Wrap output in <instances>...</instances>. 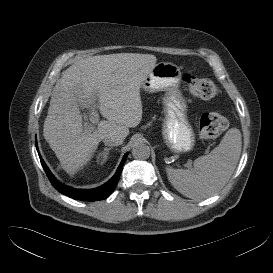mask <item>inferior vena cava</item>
Returning a JSON list of instances; mask_svg holds the SVG:
<instances>
[{"instance_id":"inferior-vena-cava-1","label":"inferior vena cava","mask_w":273,"mask_h":273,"mask_svg":"<svg viewBox=\"0 0 273 273\" xmlns=\"http://www.w3.org/2000/svg\"><path fill=\"white\" fill-rule=\"evenodd\" d=\"M103 142L105 145H109V146H117L122 144V141L119 138H116L114 136L104 138Z\"/></svg>"}]
</instances>
